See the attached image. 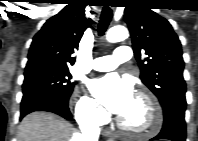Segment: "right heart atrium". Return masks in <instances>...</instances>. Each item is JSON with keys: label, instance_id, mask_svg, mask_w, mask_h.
<instances>
[{"label": "right heart atrium", "instance_id": "right-heart-atrium-1", "mask_svg": "<svg viewBox=\"0 0 198 141\" xmlns=\"http://www.w3.org/2000/svg\"><path fill=\"white\" fill-rule=\"evenodd\" d=\"M76 119L83 124L102 125L107 121L103 108L90 96L81 95L74 98Z\"/></svg>", "mask_w": 198, "mask_h": 141}]
</instances>
